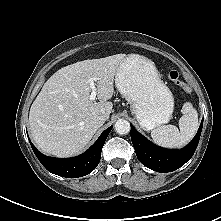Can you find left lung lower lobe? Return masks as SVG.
<instances>
[{
  "label": "left lung lower lobe",
  "mask_w": 221,
  "mask_h": 221,
  "mask_svg": "<svg viewBox=\"0 0 221 221\" xmlns=\"http://www.w3.org/2000/svg\"><path fill=\"white\" fill-rule=\"evenodd\" d=\"M203 127V120L193 140L180 150L165 149L152 144L131 125V140L139 161L156 172H172L193 156Z\"/></svg>",
  "instance_id": "obj_1"
}]
</instances>
